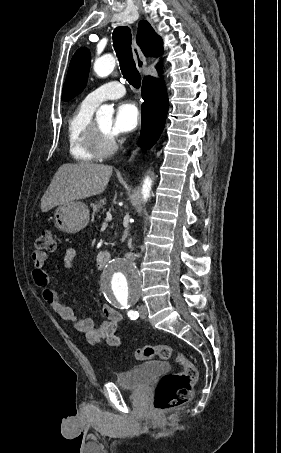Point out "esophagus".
<instances>
[{
  "mask_svg": "<svg viewBox=\"0 0 281 453\" xmlns=\"http://www.w3.org/2000/svg\"><path fill=\"white\" fill-rule=\"evenodd\" d=\"M132 52H133V57H134L137 69L141 73H143L144 68L146 66V61H145V58H144L140 48L138 47V45L136 43L135 38L132 41ZM138 150H139V147H136L135 150H133V152L131 154V157L129 159V162L133 161V159L135 158L136 154L138 153Z\"/></svg>",
  "mask_w": 281,
  "mask_h": 453,
  "instance_id": "obj_1",
  "label": "esophagus"
}]
</instances>
